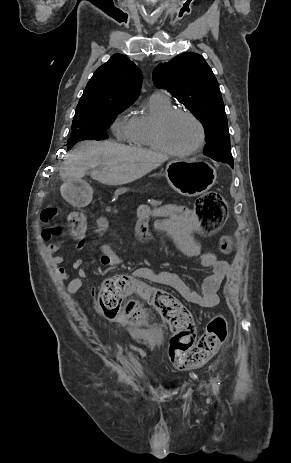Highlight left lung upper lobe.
Masks as SVG:
<instances>
[{
  "label": "left lung upper lobe",
  "mask_w": 291,
  "mask_h": 463,
  "mask_svg": "<svg viewBox=\"0 0 291 463\" xmlns=\"http://www.w3.org/2000/svg\"><path fill=\"white\" fill-rule=\"evenodd\" d=\"M153 82L184 104L203 124L207 138L205 155L232 159L225 106L211 68L196 53H182L153 71Z\"/></svg>",
  "instance_id": "obj_1"
}]
</instances>
